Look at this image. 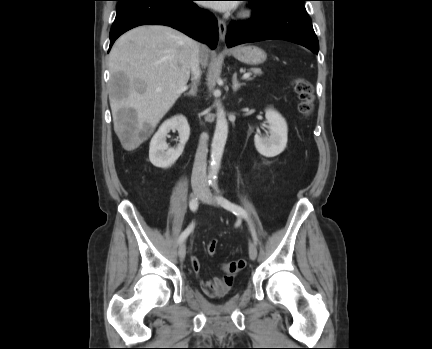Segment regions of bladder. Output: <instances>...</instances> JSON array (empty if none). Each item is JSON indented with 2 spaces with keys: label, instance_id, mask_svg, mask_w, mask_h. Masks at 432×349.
I'll return each mask as SVG.
<instances>
[{
  "label": "bladder",
  "instance_id": "bladder-1",
  "mask_svg": "<svg viewBox=\"0 0 432 349\" xmlns=\"http://www.w3.org/2000/svg\"><path fill=\"white\" fill-rule=\"evenodd\" d=\"M230 297H232V296H230ZM230 297H228V294H226V295H224V296H222V297H220L219 299H220V302H225L228 298H230ZM206 302L209 304V305H211V306H213V307H215V308H218V307H221L222 306V304H213V303H211L210 301H208V300H206Z\"/></svg>",
  "mask_w": 432,
  "mask_h": 349
}]
</instances>
